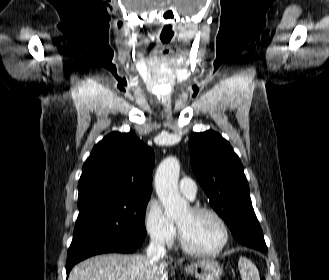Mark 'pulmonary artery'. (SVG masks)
Masks as SVG:
<instances>
[{"label": "pulmonary artery", "instance_id": "obj_1", "mask_svg": "<svg viewBox=\"0 0 329 280\" xmlns=\"http://www.w3.org/2000/svg\"><path fill=\"white\" fill-rule=\"evenodd\" d=\"M179 190L186 197L193 199L196 195L197 186L192 179L184 177L179 182Z\"/></svg>", "mask_w": 329, "mask_h": 280}]
</instances>
